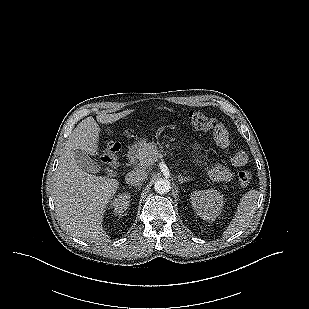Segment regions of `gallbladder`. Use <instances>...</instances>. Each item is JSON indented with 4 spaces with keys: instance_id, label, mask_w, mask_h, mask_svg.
<instances>
[{
    "instance_id": "1",
    "label": "gallbladder",
    "mask_w": 309,
    "mask_h": 309,
    "mask_svg": "<svg viewBox=\"0 0 309 309\" xmlns=\"http://www.w3.org/2000/svg\"><path fill=\"white\" fill-rule=\"evenodd\" d=\"M75 159L77 164L85 171L89 173H97L100 171L99 165L94 162L87 153H85L82 150H76L75 153Z\"/></svg>"
}]
</instances>
